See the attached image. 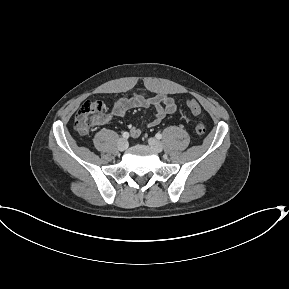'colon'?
<instances>
[{
  "mask_svg": "<svg viewBox=\"0 0 289 289\" xmlns=\"http://www.w3.org/2000/svg\"><path fill=\"white\" fill-rule=\"evenodd\" d=\"M186 103L192 114L199 119L201 117L199 103L194 99H188ZM104 110L105 105L102 101L87 100L75 116V129L78 134L81 136L89 135L94 124L103 116ZM195 131L197 134H203L206 131L204 123L198 121L195 125Z\"/></svg>",
  "mask_w": 289,
  "mask_h": 289,
  "instance_id": "colon-1",
  "label": "colon"
}]
</instances>
